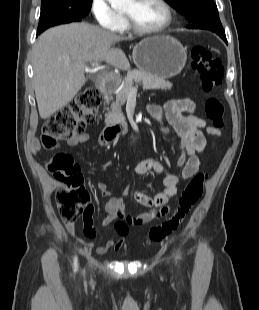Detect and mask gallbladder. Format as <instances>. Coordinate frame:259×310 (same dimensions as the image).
Segmentation results:
<instances>
[{
    "label": "gallbladder",
    "mask_w": 259,
    "mask_h": 310,
    "mask_svg": "<svg viewBox=\"0 0 259 310\" xmlns=\"http://www.w3.org/2000/svg\"><path fill=\"white\" fill-rule=\"evenodd\" d=\"M89 79H90L91 81H94V79H95L94 75H90V76H89Z\"/></svg>",
    "instance_id": "1"
}]
</instances>
